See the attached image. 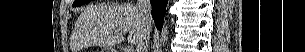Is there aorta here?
<instances>
[{
    "instance_id": "aorta-1",
    "label": "aorta",
    "mask_w": 305,
    "mask_h": 52,
    "mask_svg": "<svg viewBox=\"0 0 305 52\" xmlns=\"http://www.w3.org/2000/svg\"><path fill=\"white\" fill-rule=\"evenodd\" d=\"M169 38V28L168 25L164 24L161 34H160V44L165 46Z\"/></svg>"
}]
</instances>
